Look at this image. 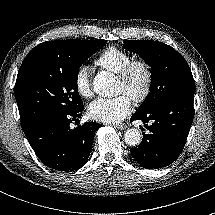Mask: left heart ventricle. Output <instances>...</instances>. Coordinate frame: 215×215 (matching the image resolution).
I'll use <instances>...</instances> for the list:
<instances>
[{
	"mask_svg": "<svg viewBox=\"0 0 215 215\" xmlns=\"http://www.w3.org/2000/svg\"><path fill=\"white\" fill-rule=\"evenodd\" d=\"M144 84V75L140 69H136L131 78L127 82H123L117 78L116 87L117 93H124L130 98L134 95H138Z\"/></svg>",
	"mask_w": 215,
	"mask_h": 215,
	"instance_id": "1",
	"label": "left heart ventricle"
}]
</instances>
